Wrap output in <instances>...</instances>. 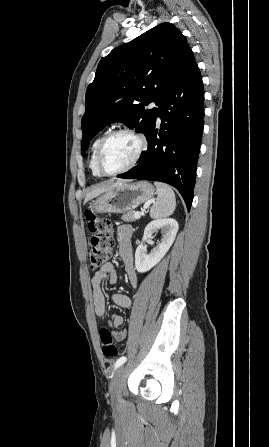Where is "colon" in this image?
Here are the masks:
<instances>
[{
  "label": "colon",
  "mask_w": 269,
  "mask_h": 447,
  "mask_svg": "<svg viewBox=\"0 0 269 447\" xmlns=\"http://www.w3.org/2000/svg\"><path fill=\"white\" fill-rule=\"evenodd\" d=\"M84 215L87 219L88 231L92 235V249L89 252L90 266L92 269H98L109 261L113 246L112 227L108 219L91 210H86ZM99 338L103 355L106 358H117L119 350L108 326L99 328Z\"/></svg>",
  "instance_id": "1"
}]
</instances>
